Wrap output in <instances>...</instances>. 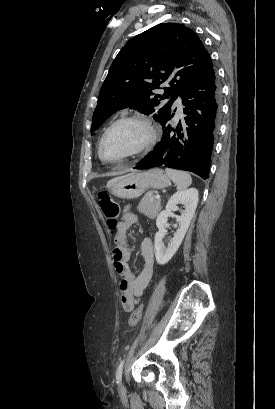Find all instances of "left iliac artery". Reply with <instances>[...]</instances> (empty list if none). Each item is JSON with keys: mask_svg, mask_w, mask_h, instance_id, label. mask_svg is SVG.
<instances>
[{"mask_svg": "<svg viewBox=\"0 0 275 409\" xmlns=\"http://www.w3.org/2000/svg\"><path fill=\"white\" fill-rule=\"evenodd\" d=\"M124 363H125V359H122V361L120 362L117 368V371H116V380H117L116 383L117 384L121 382Z\"/></svg>", "mask_w": 275, "mask_h": 409, "instance_id": "44dca946", "label": "left iliac artery"}]
</instances>
